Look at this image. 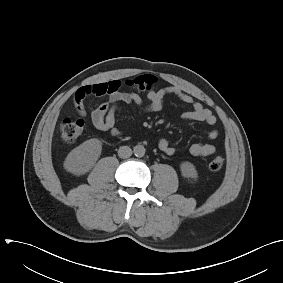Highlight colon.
Wrapping results in <instances>:
<instances>
[{"instance_id":"colon-1","label":"colon","mask_w":283,"mask_h":283,"mask_svg":"<svg viewBox=\"0 0 283 283\" xmlns=\"http://www.w3.org/2000/svg\"><path fill=\"white\" fill-rule=\"evenodd\" d=\"M156 82V79L151 75H143L136 77L126 82L127 86L135 88L137 90H150ZM84 128V122L82 120H70L64 121L61 127V139L65 145H72L81 136ZM224 165V159L221 157L213 158L209 162V168L212 171L220 170Z\"/></svg>"}]
</instances>
